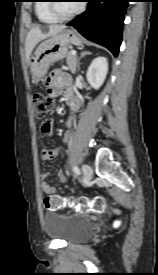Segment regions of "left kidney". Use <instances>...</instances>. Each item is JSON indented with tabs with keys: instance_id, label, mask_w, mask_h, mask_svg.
Listing matches in <instances>:
<instances>
[{
	"instance_id": "obj_1",
	"label": "left kidney",
	"mask_w": 158,
	"mask_h": 275,
	"mask_svg": "<svg viewBox=\"0 0 158 275\" xmlns=\"http://www.w3.org/2000/svg\"><path fill=\"white\" fill-rule=\"evenodd\" d=\"M108 72V62L105 57H97L90 64L86 77L89 84L98 90L104 83Z\"/></svg>"
}]
</instances>
